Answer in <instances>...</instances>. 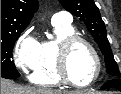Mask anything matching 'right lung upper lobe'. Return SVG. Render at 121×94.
<instances>
[{
  "label": "right lung upper lobe",
  "instance_id": "obj_1",
  "mask_svg": "<svg viewBox=\"0 0 121 94\" xmlns=\"http://www.w3.org/2000/svg\"><path fill=\"white\" fill-rule=\"evenodd\" d=\"M38 7L37 0H1V33L24 30Z\"/></svg>",
  "mask_w": 121,
  "mask_h": 94
}]
</instances>
